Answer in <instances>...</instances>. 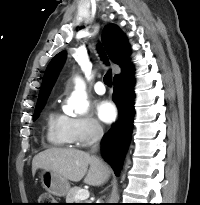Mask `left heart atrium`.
<instances>
[{"label": "left heart atrium", "mask_w": 200, "mask_h": 205, "mask_svg": "<svg viewBox=\"0 0 200 205\" xmlns=\"http://www.w3.org/2000/svg\"><path fill=\"white\" fill-rule=\"evenodd\" d=\"M97 114L103 122L111 123L117 117V109L111 101L103 100L98 104Z\"/></svg>", "instance_id": "obj_1"}]
</instances>
